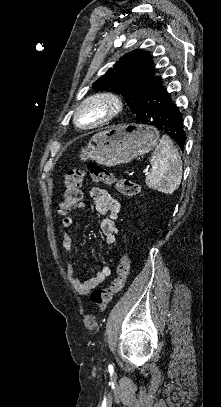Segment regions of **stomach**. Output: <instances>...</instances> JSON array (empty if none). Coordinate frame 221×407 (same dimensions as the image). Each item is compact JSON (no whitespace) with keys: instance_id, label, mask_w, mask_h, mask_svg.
Here are the masks:
<instances>
[{"instance_id":"obj_1","label":"stomach","mask_w":221,"mask_h":407,"mask_svg":"<svg viewBox=\"0 0 221 407\" xmlns=\"http://www.w3.org/2000/svg\"><path fill=\"white\" fill-rule=\"evenodd\" d=\"M158 140L159 132L152 127L120 125L92 136L87 146L81 148L80 158L111 167L150 152L157 146Z\"/></svg>"}]
</instances>
